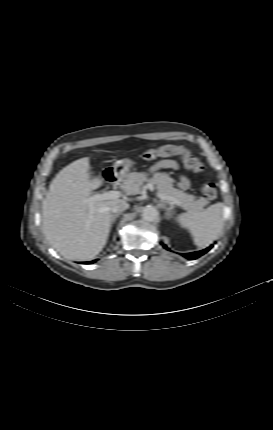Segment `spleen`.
<instances>
[{
    "label": "spleen",
    "mask_w": 273,
    "mask_h": 430,
    "mask_svg": "<svg viewBox=\"0 0 273 430\" xmlns=\"http://www.w3.org/2000/svg\"><path fill=\"white\" fill-rule=\"evenodd\" d=\"M176 221L187 228L195 244L200 248L209 246L224 225V204L215 203L202 212H187L176 217Z\"/></svg>",
    "instance_id": "1"
}]
</instances>
